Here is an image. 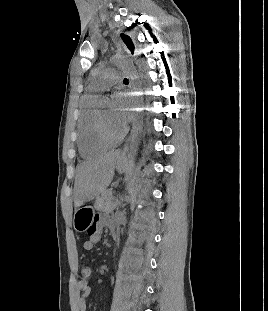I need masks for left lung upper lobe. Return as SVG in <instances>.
Returning a JSON list of instances; mask_svg holds the SVG:
<instances>
[{
	"mask_svg": "<svg viewBox=\"0 0 268 311\" xmlns=\"http://www.w3.org/2000/svg\"><path fill=\"white\" fill-rule=\"evenodd\" d=\"M121 38L123 40V42L126 44V46L128 47V49L132 52H134V44L131 40V38L128 35L125 34H121Z\"/></svg>",
	"mask_w": 268,
	"mask_h": 311,
	"instance_id": "1",
	"label": "left lung upper lobe"
}]
</instances>
